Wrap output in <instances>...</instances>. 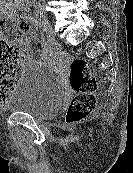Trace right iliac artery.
Masks as SVG:
<instances>
[{"label":"right iliac artery","instance_id":"82829eb1","mask_svg":"<svg viewBox=\"0 0 133 173\" xmlns=\"http://www.w3.org/2000/svg\"><path fill=\"white\" fill-rule=\"evenodd\" d=\"M43 46L44 47H49L50 46V43H49L48 39H43Z\"/></svg>","mask_w":133,"mask_h":173}]
</instances>
